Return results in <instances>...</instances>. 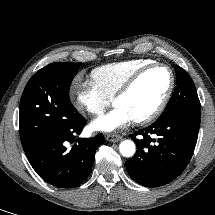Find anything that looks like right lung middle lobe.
Wrapping results in <instances>:
<instances>
[{"label": "right lung middle lobe", "mask_w": 215, "mask_h": 215, "mask_svg": "<svg viewBox=\"0 0 215 215\" xmlns=\"http://www.w3.org/2000/svg\"><path fill=\"white\" fill-rule=\"evenodd\" d=\"M81 64L51 63L28 81L21 97L19 114L24 150L68 127L81 116L69 98L71 82Z\"/></svg>", "instance_id": "1"}]
</instances>
